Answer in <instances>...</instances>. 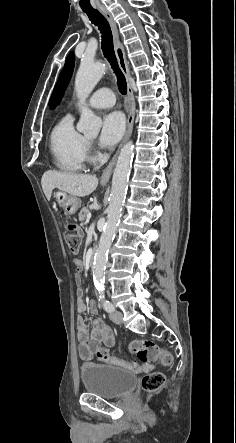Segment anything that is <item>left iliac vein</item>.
<instances>
[{
	"mask_svg": "<svg viewBox=\"0 0 236 443\" xmlns=\"http://www.w3.org/2000/svg\"><path fill=\"white\" fill-rule=\"evenodd\" d=\"M109 317L114 323H116L118 325H120L122 323L123 315L120 311L115 310V311L111 312Z\"/></svg>",
	"mask_w": 236,
	"mask_h": 443,
	"instance_id": "obj_1",
	"label": "left iliac vein"
}]
</instances>
